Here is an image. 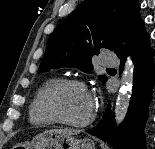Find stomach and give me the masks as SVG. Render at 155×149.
I'll return each instance as SVG.
<instances>
[{"label": "stomach", "mask_w": 155, "mask_h": 149, "mask_svg": "<svg viewBox=\"0 0 155 149\" xmlns=\"http://www.w3.org/2000/svg\"><path fill=\"white\" fill-rule=\"evenodd\" d=\"M15 148L95 149V143L91 139H77L69 134L44 132L35 136L31 142L18 143Z\"/></svg>", "instance_id": "1"}]
</instances>
